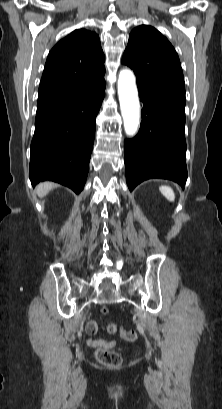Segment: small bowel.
Returning a JSON list of instances; mask_svg holds the SVG:
<instances>
[{"label":"small bowel","instance_id":"small-bowel-1","mask_svg":"<svg viewBox=\"0 0 222 409\" xmlns=\"http://www.w3.org/2000/svg\"><path fill=\"white\" fill-rule=\"evenodd\" d=\"M98 329V324L96 321L92 320L89 321L88 325H87V332L91 335L95 334L97 332ZM89 345L92 347H110L115 345L114 341H106L102 338H91L89 340Z\"/></svg>","mask_w":222,"mask_h":409}]
</instances>
